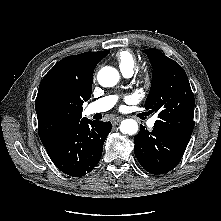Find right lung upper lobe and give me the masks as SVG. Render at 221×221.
<instances>
[{
	"label": "right lung upper lobe",
	"instance_id": "1",
	"mask_svg": "<svg viewBox=\"0 0 221 221\" xmlns=\"http://www.w3.org/2000/svg\"><path fill=\"white\" fill-rule=\"evenodd\" d=\"M108 53L66 57L44 76L35 100L42 143L86 119L82 117V105L91 97L94 69Z\"/></svg>",
	"mask_w": 221,
	"mask_h": 221
}]
</instances>
